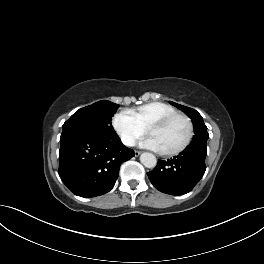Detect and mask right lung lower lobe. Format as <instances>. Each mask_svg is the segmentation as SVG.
<instances>
[{"mask_svg":"<svg viewBox=\"0 0 264 264\" xmlns=\"http://www.w3.org/2000/svg\"><path fill=\"white\" fill-rule=\"evenodd\" d=\"M59 176L67 188L81 197L109 192L120 165L134 156L115 134L70 129L60 137Z\"/></svg>","mask_w":264,"mask_h":264,"instance_id":"1","label":"right lung lower lobe"}]
</instances>
